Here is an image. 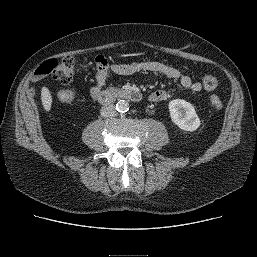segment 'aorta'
I'll return each instance as SVG.
<instances>
[{
    "label": "aorta",
    "mask_w": 257,
    "mask_h": 257,
    "mask_svg": "<svg viewBox=\"0 0 257 257\" xmlns=\"http://www.w3.org/2000/svg\"><path fill=\"white\" fill-rule=\"evenodd\" d=\"M116 110L119 113H125L129 110V103L126 100H119L116 104Z\"/></svg>",
    "instance_id": "obj_1"
}]
</instances>
